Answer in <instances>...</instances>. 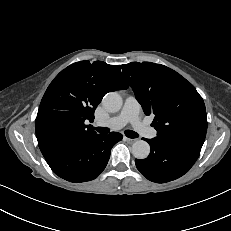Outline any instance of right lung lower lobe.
Listing matches in <instances>:
<instances>
[{"instance_id":"98d812e1","label":"right lung lower lobe","mask_w":231,"mask_h":231,"mask_svg":"<svg viewBox=\"0 0 231 231\" xmlns=\"http://www.w3.org/2000/svg\"><path fill=\"white\" fill-rule=\"evenodd\" d=\"M122 138L117 132L96 134L83 143L58 149L44 157L59 177L70 182H86L105 169L112 147Z\"/></svg>"}]
</instances>
